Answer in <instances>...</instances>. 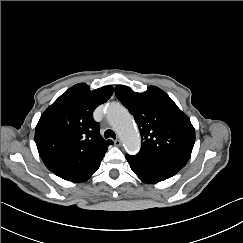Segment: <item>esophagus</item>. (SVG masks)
<instances>
[{"label":"esophagus","mask_w":243,"mask_h":243,"mask_svg":"<svg viewBox=\"0 0 243 243\" xmlns=\"http://www.w3.org/2000/svg\"><path fill=\"white\" fill-rule=\"evenodd\" d=\"M114 144H115V146L119 147V146H121L122 142L119 139H117L114 141Z\"/></svg>","instance_id":"obj_1"}]
</instances>
